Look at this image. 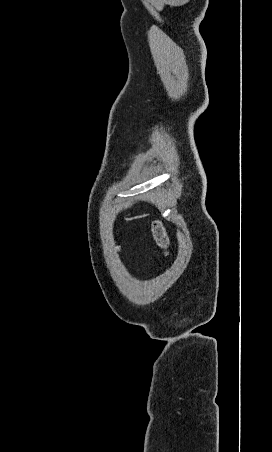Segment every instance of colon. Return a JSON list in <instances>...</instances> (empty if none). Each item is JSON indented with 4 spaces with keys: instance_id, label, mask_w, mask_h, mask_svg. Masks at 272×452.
Wrapping results in <instances>:
<instances>
[{
    "instance_id": "1",
    "label": "colon",
    "mask_w": 272,
    "mask_h": 452,
    "mask_svg": "<svg viewBox=\"0 0 272 452\" xmlns=\"http://www.w3.org/2000/svg\"><path fill=\"white\" fill-rule=\"evenodd\" d=\"M151 231L156 246L166 253L170 245V240L162 221L155 219L152 222Z\"/></svg>"
}]
</instances>
